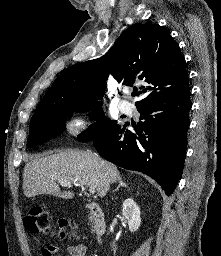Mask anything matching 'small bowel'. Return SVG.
Returning <instances> with one entry per match:
<instances>
[{"instance_id":"1","label":"small bowel","mask_w":221,"mask_h":256,"mask_svg":"<svg viewBox=\"0 0 221 256\" xmlns=\"http://www.w3.org/2000/svg\"><path fill=\"white\" fill-rule=\"evenodd\" d=\"M57 248L53 245H48L43 248L42 256H54ZM67 252L70 256H86L87 248L84 244H73L67 247Z\"/></svg>"}]
</instances>
